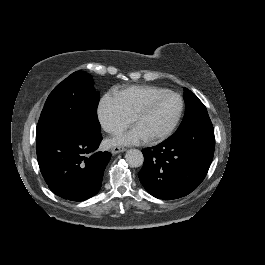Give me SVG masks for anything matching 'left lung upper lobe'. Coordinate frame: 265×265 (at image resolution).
<instances>
[{
    "mask_svg": "<svg viewBox=\"0 0 265 265\" xmlns=\"http://www.w3.org/2000/svg\"><path fill=\"white\" fill-rule=\"evenodd\" d=\"M183 97L185 100L186 111L178 130L209 119L205 106L190 90L184 88Z\"/></svg>",
    "mask_w": 265,
    "mask_h": 265,
    "instance_id": "obj_1",
    "label": "left lung upper lobe"
}]
</instances>
